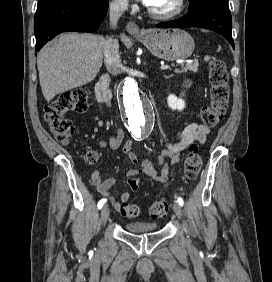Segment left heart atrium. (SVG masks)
Listing matches in <instances>:
<instances>
[{
    "instance_id": "left-heart-atrium-1",
    "label": "left heart atrium",
    "mask_w": 272,
    "mask_h": 282,
    "mask_svg": "<svg viewBox=\"0 0 272 282\" xmlns=\"http://www.w3.org/2000/svg\"><path fill=\"white\" fill-rule=\"evenodd\" d=\"M140 1H141V3H143L144 5L149 6L151 0H140Z\"/></svg>"
}]
</instances>
